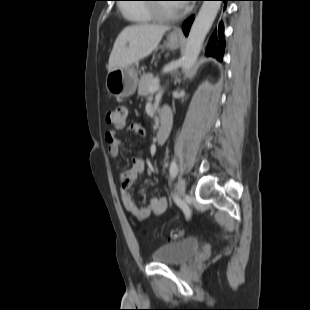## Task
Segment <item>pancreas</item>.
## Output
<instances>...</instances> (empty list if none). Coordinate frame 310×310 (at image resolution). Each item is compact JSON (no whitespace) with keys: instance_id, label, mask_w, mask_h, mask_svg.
<instances>
[{"instance_id":"1","label":"pancreas","mask_w":310,"mask_h":310,"mask_svg":"<svg viewBox=\"0 0 310 310\" xmlns=\"http://www.w3.org/2000/svg\"><path fill=\"white\" fill-rule=\"evenodd\" d=\"M156 83L157 81L152 73L144 74L139 81L138 95L140 96L151 95L152 93L149 91V88Z\"/></svg>"}]
</instances>
